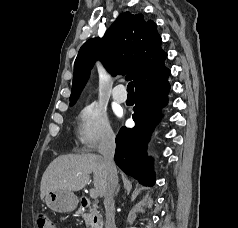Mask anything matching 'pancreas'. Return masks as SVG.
<instances>
[{"instance_id": "cf45deb5", "label": "pancreas", "mask_w": 238, "mask_h": 228, "mask_svg": "<svg viewBox=\"0 0 238 228\" xmlns=\"http://www.w3.org/2000/svg\"><path fill=\"white\" fill-rule=\"evenodd\" d=\"M77 213L83 217L87 228H100L99 224L94 222V218L98 215L96 204H92L88 210L80 207Z\"/></svg>"}]
</instances>
